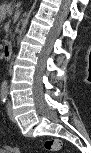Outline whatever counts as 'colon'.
<instances>
[{
    "label": "colon",
    "instance_id": "colon-1",
    "mask_svg": "<svg viewBox=\"0 0 91 153\" xmlns=\"http://www.w3.org/2000/svg\"><path fill=\"white\" fill-rule=\"evenodd\" d=\"M62 147V142L59 139L51 138L44 142V148L47 151H59Z\"/></svg>",
    "mask_w": 91,
    "mask_h": 153
}]
</instances>
